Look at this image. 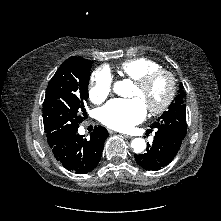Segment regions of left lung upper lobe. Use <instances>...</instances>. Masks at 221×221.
<instances>
[{"instance_id":"left-lung-upper-lobe-1","label":"left lung upper lobe","mask_w":221,"mask_h":221,"mask_svg":"<svg viewBox=\"0 0 221 221\" xmlns=\"http://www.w3.org/2000/svg\"><path fill=\"white\" fill-rule=\"evenodd\" d=\"M160 125H166L175 129L183 135H186V105L184 104V91L180 85L179 94L169 105L168 111H165L157 121L152 125L153 128Z\"/></svg>"}]
</instances>
